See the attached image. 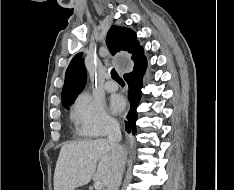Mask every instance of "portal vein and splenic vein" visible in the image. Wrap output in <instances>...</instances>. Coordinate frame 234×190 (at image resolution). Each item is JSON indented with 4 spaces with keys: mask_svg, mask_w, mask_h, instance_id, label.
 <instances>
[{
    "mask_svg": "<svg viewBox=\"0 0 234 190\" xmlns=\"http://www.w3.org/2000/svg\"><path fill=\"white\" fill-rule=\"evenodd\" d=\"M102 187H103L102 181H100V180L95 181V183H94L95 190H101Z\"/></svg>",
    "mask_w": 234,
    "mask_h": 190,
    "instance_id": "1",
    "label": "portal vein and splenic vein"
}]
</instances>
